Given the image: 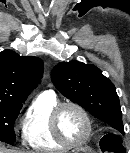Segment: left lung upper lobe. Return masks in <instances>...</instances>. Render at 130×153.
Wrapping results in <instances>:
<instances>
[{
	"mask_svg": "<svg viewBox=\"0 0 130 153\" xmlns=\"http://www.w3.org/2000/svg\"><path fill=\"white\" fill-rule=\"evenodd\" d=\"M51 79L65 97L124 133L115 86L99 68L78 61L60 62L54 67Z\"/></svg>",
	"mask_w": 130,
	"mask_h": 153,
	"instance_id": "left-lung-upper-lobe-1",
	"label": "left lung upper lobe"
}]
</instances>
